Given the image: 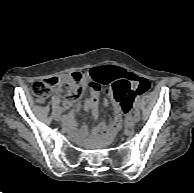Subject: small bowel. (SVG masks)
Masks as SVG:
<instances>
[{"label":"small bowel","instance_id":"obj_1","mask_svg":"<svg viewBox=\"0 0 194 193\" xmlns=\"http://www.w3.org/2000/svg\"><path fill=\"white\" fill-rule=\"evenodd\" d=\"M121 75H126L125 71L117 67H96L87 72L82 80V86L87 90V96L84 101V108L90 111L93 117L99 119V99L95 85L110 84ZM56 94L65 96V91L61 88L56 90ZM104 106L108 105V101L103 102ZM65 106L70 110V114L74 115L80 108L79 101L66 99ZM122 123V108L115 107V118L111 124L98 123L93 131L97 136L98 141L102 143H108L119 129ZM66 127L70 131L75 130L74 123H67ZM88 127L84 126L79 132L75 133V137L79 140L83 139L88 133Z\"/></svg>","mask_w":194,"mask_h":193}]
</instances>
